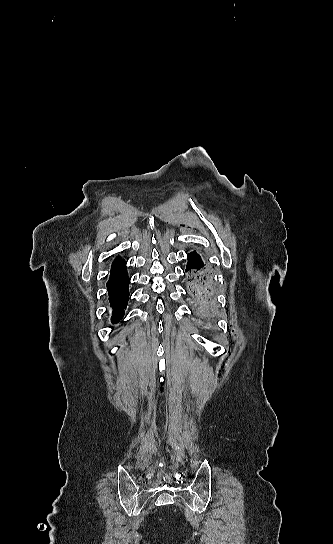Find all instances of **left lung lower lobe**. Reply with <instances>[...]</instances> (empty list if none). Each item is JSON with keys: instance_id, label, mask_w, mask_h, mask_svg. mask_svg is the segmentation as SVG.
Here are the masks:
<instances>
[{"instance_id": "left-lung-lower-lobe-1", "label": "left lung lower lobe", "mask_w": 333, "mask_h": 544, "mask_svg": "<svg viewBox=\"0 0 333 544\" xmlns=\"http://www.w3.org/2000/svg\"><path fill=\"white\" fill-rule=\"evenodd\" d=\"M188 287L197 314L207 327H212L216 312L214 280L211 269L196 253L187 255Z\"/></svg>"}]
</instances>
